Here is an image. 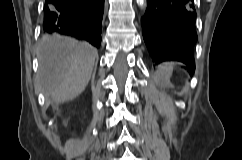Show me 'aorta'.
Returning <instances> with one entry per match:
<instances>
[{
  "instance_id": "762f6f07",
  "label": "aorta",
  "mask_w": 242,
  "mask_h": 160,
  "mask_svg": "<svg viewBox=\"0 0 242 160\" xmlns=\"http://www.w3.org/2000/svg\"><path fill=\"white\" fill-rule=\"evenodd\" d=\"M139 2H140V5H141L142 7H144V6L146 5V1H145V0H139Z\"/></svg>"
}]
</instances>
